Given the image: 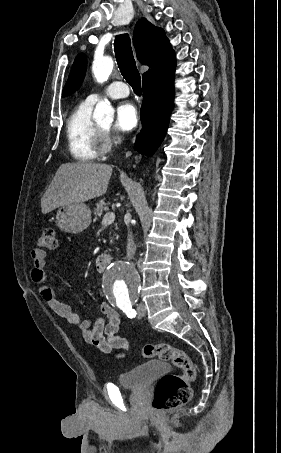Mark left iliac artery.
<instances>
[{"mask_svg": "<svg viewBox=\"0 0 281 453\" xmlns=\"http://www.w3.org/2000/svg\"><path fill=\"white\" fill-rule=\"evenodd\" d=\"M119 308L121 310H123V312L127 315V317L129 318H133L136 316V311L134 309H132V305L131 304H127V305H122V306H119Z\"/></svg>", "mask_w": 281, "mask_h": 453, "instance_id": "1", "label": "left iliac artery"}]
</instances>
